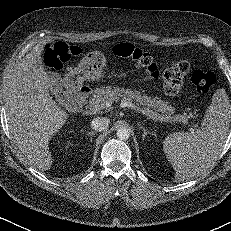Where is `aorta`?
I'll return each instance as SVG.
<instances>
[{
    "label": "aorta",
    "instance_id": "1",
    "mask_svg": "<svg viewBox=\"0 0 231 231\" xmlns=\"http://www.w3.org/2000/svg\"><path fill=\"white\" fill-rule=\"evenodd\" d=\"M118 139L120 140H127L130 136V132L127 128H119L116 133Z\"/></svg>",
    "mask_w": 231,
    "mask_h": 231
}]
</instances>
